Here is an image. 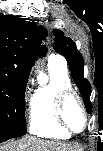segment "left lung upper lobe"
Instances as JSON below:
<instances>
[{"label":"left lung upper lobe","mask_w":103,"mask_h":151,"mask_svg":"<svg viewBox=\"0 0 103 151\" xmlns=\"http://www.w3.org/2000/svg\"><path fill=\"white\" fill-rule=\"evenodd\" d=\"M53 32L56 36V43L54 44V49L56 52L60 53L66 58L71 70L72 78L83 96L87 112L91 113V85L90 82L83 76L84 64L82 55L77 50L75 43L70 38L65 37L62 31L54 30Z\"/></svg>","instance_id":"obj_1"}]
</instances>
